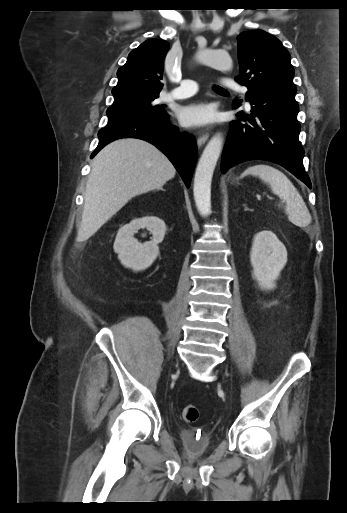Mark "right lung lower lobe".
<instances>
[{"label":"right lung lower lobe","mask_w":347,"mask_h":513,"mask_svg":"<svg viewBox=\"0 0 347 513\" xmlns=\"http://www.w3.org/2000/svg\"><path fill=\"white\" fill-rule=\"evenodd\" d=\"M98 137L99 144L91 158L116 139H142L155 145L169 158L189 187L197 158L196 143L192 136L180 133L170 124L167 113L159 119L131 116L108 121V125L98 132Z\"/></svg>","instance_id":"right-lung-lower-lobe-1"}]
</instances>
